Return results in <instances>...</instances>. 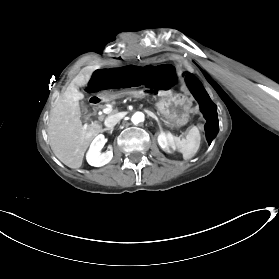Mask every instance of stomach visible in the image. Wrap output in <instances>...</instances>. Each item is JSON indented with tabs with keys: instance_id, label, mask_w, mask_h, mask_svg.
<instances>
[{
	"instance_id": "obj_1",
	"label": "stomach",
	"mask_w": 279,
	"mask_h": 279,
	"mask_svg": "<svg viewBox=\"0 0 279 279\" xmlns=\"http://www.w3.org/2000/svg\"><path fill=\"white\" fill-rule=\"evenodd\" d=\"M191 110L192 103L190 99L181 95L167 96L157 105L159 117L168 119L173 125L186 123Z\"/></svg>"
}]
</instances>
